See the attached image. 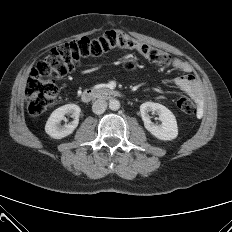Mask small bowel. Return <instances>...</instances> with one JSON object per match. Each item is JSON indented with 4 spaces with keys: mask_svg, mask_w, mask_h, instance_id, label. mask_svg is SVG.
Masks as SVG:
<instances>
[{
    "mask_svg": "<svg viewBox=\"0 0 232 232\" xmlns=\"http://www.w3.org/2000/svg\"><path fill=\"white\" fill-rule=\"evenodd\" d=\"M172 64L174 68L183 73L175 78V84L183 92L191 95L197 101L200 114L203 106V97L200 82L194 73L192 65L188 61L180 58L174 59Z\"/></svg>",
    "mask_w": 232,
    "mask_h": 232,
    "instance_id": "c3829d8e",
    "label": "small bowel"
}]
</instances>
